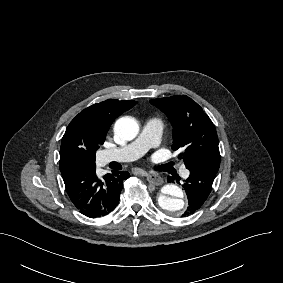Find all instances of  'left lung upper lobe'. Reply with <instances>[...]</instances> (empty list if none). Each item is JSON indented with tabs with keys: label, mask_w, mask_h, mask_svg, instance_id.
I'll list each match as a JSON object with an SVG mask.
<instances>
[{
	"label": "left lung upper lobe",
	"mask_w": 283,
	"mask_h": 283,
	"mask_svg": "<svg viewBox=\"0 0 283 283\" xmlns=\"http://www.w3.org/2000/svg\"><path fill=\"white\" fill-rule=\"evenodd\" d=\"M162 110L173 126V150L181 149L186 168L196 165H220L216 129L202 108L183 95L150 100Z\"/></svg>",
	"instance_id": "obj_1"
}]
</instances>
